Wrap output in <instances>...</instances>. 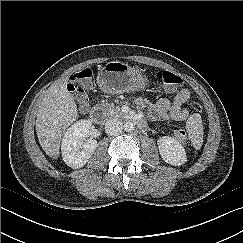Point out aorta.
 <instances>
[{
  "label": "aorta",
  "instance_id": "aorta-1",
  "mask_svg": "<svg viewBox=\"0 0 243 243\" xmlns=\"http://www.w3.org/2000/svg\"><path fill=\"white\" fill-rule=\"evenodd\" d=\"M125 132H132L134 130V123L131 121H127L123 125Z\"/></svg>",
  "mask_w": 243,
  "mask_h": 243
}]
</instances>
